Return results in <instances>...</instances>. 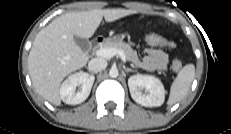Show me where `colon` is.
<instances>
[{
    "mask_svg": "<svg viewBox=\"0 0 231 134\" xmlns=\"http://www.w3.org/2000/svg\"><path fill=\"white\" fill-rule=\"evenodd\" d=\"M144 41L145 43L152 47V48H155V47H168V48H171V49H174L175 48V43L160 36V35H157V34H148L145 36L144 38ZM182 68V63L180 61V59L178 58H174V60L172 61V69L175 71V72H179Z\"/></svg>",
    "mask_w": 231,
    "mask_h": 134,
    "instance_id": "1",
    "label": "colon"
}]
</instances>
